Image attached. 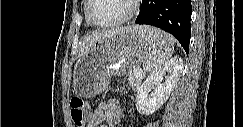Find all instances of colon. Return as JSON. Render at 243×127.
<instances>
[{"label": "colon", "mask_w": 243, "mask_h": 127, "mask_svg": "<svg viewBox=\"0 0 243 127\" xmlns=\"http://www.w3.org/2000/svg\"><path fill=\"white\" fill-rule=\"evenodd\" d=\"M70 113L75 127L85 126L88 111L84 101L81 98H72L70 103Z\"/></svg>", "instance_id": "obj_1"}]
</instances>
